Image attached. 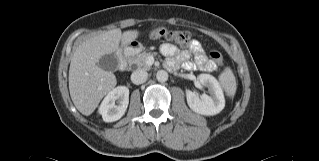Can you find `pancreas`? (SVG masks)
<instances>
[{"mask_svg":"<svg viewBox=\"0 0 319 161\" xmlns=\"http://www.w3.org/2000/svg\"><path fill=\"white\" fill-rule=\"evenodd\" d=\"M151 55L153 54L144 52L141 54L130 56L128 58V63L135 64L139 69L149 70L151 66L146 63V60Z\"/></svg>","mask_w":319,"mask_h":161,"instance_id":"cf45deb5","label":"pancreas"}]
</instances>
